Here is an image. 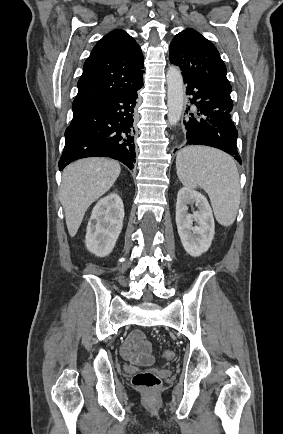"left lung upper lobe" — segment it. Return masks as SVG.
<instances>
[{
    "mask_svg": "<svg viewBox=\"0 0 283 434\" xmlns=\"http://www.w3.org/2000/svg\"><path fill=\"white\" fill-rule=\"evenodd\" d=\"M169 60L182 73L195 76L231 93L226 66L216 47L197 31L188 28L178 33L170 44Z\"/></svg>",
    "mask_w": 283,
    "mask_h": 434,
    "instance_id": "obj_1",
    "label": "left lung upper lobe"
}]
</instances>
